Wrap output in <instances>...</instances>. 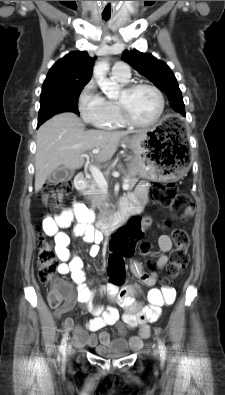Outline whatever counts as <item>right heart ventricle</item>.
I'll return each mask as SVG.
<instances>
[{
	"mask_svg": "<svg viewBox=\"0 0 225 395\" xmlns=\"http://www.w3.org/2000/svg\"><path fill=\"white\" fill-rule=\"evenodd\" d=\"M115 81L119 82L120 84L124 85L128 81H122L116 78H113ZM107 106H108V115L104 119L101 128L103 129H118L125 126L123 121L121 120L120 113L117 107L116 101L112 99H106Z\"/></svg>",
	"mask_w": 225,
	"mask_h": 395,
	"instance_id": "right-heart-ventricle-1",
	"label": "right heart ventricle"
}]
</instances>
